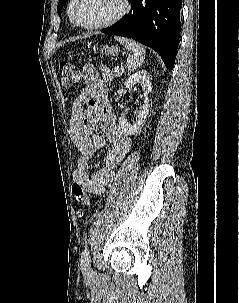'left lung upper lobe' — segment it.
<instances>
[{
	"instance_id": "obj_1",
	"label": "left lung upper lobe",
	"mask_w": 239,
	"mask_h": 303,
	"mask_svg": "<svg viewBox=\"0 0 239 303\" xmlns=\"http://www.w3.org/2000/svg\"><path fill=\"white\" fill-rule=\"evenodd\" d=\"M67 2V0H60L58 3V14L60 15V11L63 7V5Z\"/></svg>"
}]
</instances>
